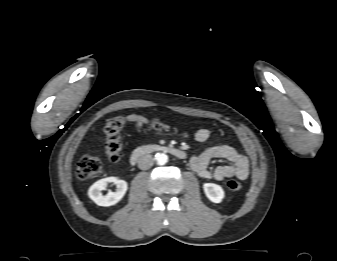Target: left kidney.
<instances>
[{"mask_svg": "<svg viewBox=\"0 0 337 261\" xmlns=\"http://www.w3.org/2000/svg\"><path fill=\"white\" fill-rule=\"evenodd\" d=\"M203 190L207 198L213 203H220L224 198V190L215 183H204Z\"/></svg>", "mask_w": 337, "mask_h": 261, "instance_id": "left-kidney-1", "label": "left kidney"}]
</instances>
